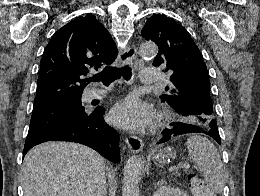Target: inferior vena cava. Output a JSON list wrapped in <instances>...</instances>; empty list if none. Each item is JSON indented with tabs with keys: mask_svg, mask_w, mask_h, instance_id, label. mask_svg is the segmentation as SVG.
Instances as JSON below:
<instances>
[{
	"mask_svg": "<svg viewBox=\"0 0 260 196\" xmlns=\"http://www.w3.org/2000/svg\"><path fill=\"white\" fill-rule=\"evenodd\" d=\"M95 196H101V194H95Z\"/></svg>",
	"mask_w": 260,
	"mask_h": 196,
	"instance_id": "1",
	"label": "inferior vena cava"
}]
</instances>
